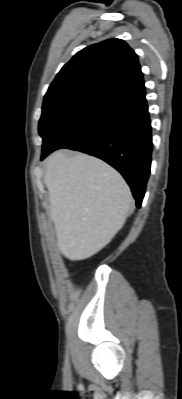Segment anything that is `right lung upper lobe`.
Wrapping results in <instances>:
<instances>
[{
    "label": "right lung upper lobe",
    "mask_w": 182,
    "mask_h": 399,
    "mask_svg": "<svg viewBox=\"0 0 182 399\" xmlns=\"http://www.w3.org/2000/svg\"><path fill=\"white\" fill-rule=\"evenodd\" d=\"M144 86L135 52L121 39H109L79 51L51 83L44 100L69 94L107 99Z\"/></svg>",
    "instance_id": "cb5924a9"
}]
</instances>
